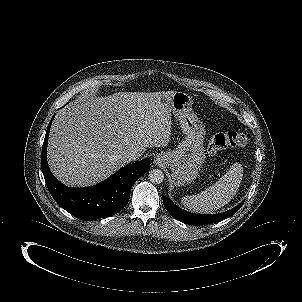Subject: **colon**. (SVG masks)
Returning a JSON list of instances; mask_svg holds the SVG:
<instances>
[{"label": "colon", "instance_id": "5ec220e1", "mask_svg": "<svg viewBox=\"0 0 302 302\" xmlns=\"http://www.w3.org/2000/svg\"><path fill=\"white\" fill-rule=\"evenodd\" d=\"M247 144V136L240 132H226L214 135L207 144L209 153H216L229 147L243 148Z\"/></svg>", "mask_w": 302, "mask_h": 302}]
</instances>
